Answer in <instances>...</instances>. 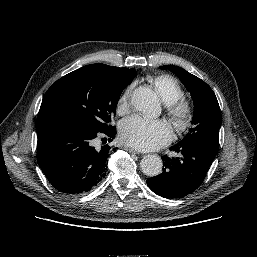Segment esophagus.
Listing matches in <instances>:
<instances>
[{"label":"esophagus","instance_id":"34e87169","mask_svg":"<svg viewBox=\"0 0 257 257\" xmlns=\"http://www.w3.org/2000/svg\"><path fill=\"white\" fill-rule=\"evenodd\" d=\"M125 150L128 151V152H130V153H134V154H137V153H138L135 149L129 148V147H125Z\"/></svg>","mask_w":257,"mask_h":257}]
</instances>
